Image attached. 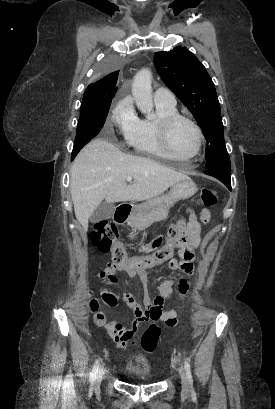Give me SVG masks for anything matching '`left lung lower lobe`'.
I'll list each match as a JSON object with an SVG mask.
<instances>
[{
	"instance_id": "obj_1",
	"label": "left lung lower lobe",
	"mask_w": 275,
	"mask_h": 409,
	"mask_svg": "<svg viewBox=\"0 0 275 409\" xmlns=\"http://www.w3.org/2000/svg\"><path fill=\"white\" fill-rule=\"evenodd\" d=\"M205 174L213 176L223 182L231 191V173H227L219 168H209L204 171Z\"/></svg>"
}]
</instances>
